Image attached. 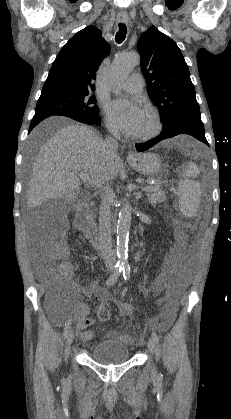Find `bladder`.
Wrapping results in <instances>:
<instances>
[{
  "instance_id": "31cf9c89",
  "label": "bladder",
  "mask_w": 231,
  "mask_h": 419,
  "mask_svg": "<svg viewBox=\"0 0 231 419\" xmlns=\"http://www.w3.org/2000/svg\"><path fill=\"white\" fill-rule=\"evenodd\" d=\"M94 362L112 365L126 362L130 359L128 346L117 339H107L98 342L91 351Z\"/></svg>"
}]
</instances>
